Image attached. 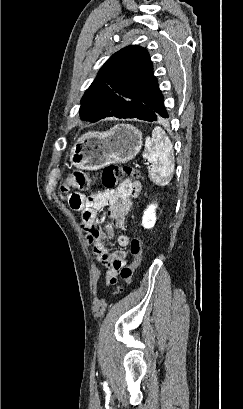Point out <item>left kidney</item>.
Masks as SVG:
<instances>
[{
	"mask_svg": "<svg viewBox=\"0 0 243 409\" xmlns=\"http://www.w3.org/2000/svg\"><path fill=\"white\" fill-rule=\"evenodd\" d=\"M156 205L151 204L147 207V209L144 211L143 217H142V226L144 228L150 229L155 225L156 222Z\"/></svg>",
	"mask_w": 243,
	"mask_h": 409,
	"instance_id": "left-kidney-1",
	"label": "left kidney"
}]
</instances>
